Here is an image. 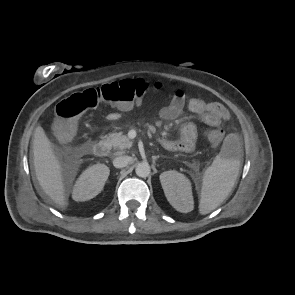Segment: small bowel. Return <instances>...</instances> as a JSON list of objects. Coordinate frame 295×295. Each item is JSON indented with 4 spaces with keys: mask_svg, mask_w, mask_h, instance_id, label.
Masks as SVG:
<instances>
[{
    "mask_svg": "<svg viewBox=\"0 0 295 295\" xmlns=\"http://www.w3.org/2000/svg\"><path fill=\"white\" fill-rule=\"evenodd\" d=\"M173 97L168 106L162 108L159 112L160 121H170L182 117L185 108L192 113L198 114L201 121L213 127L219 126L222 122L228 121L230 114L221 103L207 102L205 100L192 97L188 100L181 88L173 85ZM130 109H120L118 112H111L107 115V120L116 121L120 119L125 111ZM197 140L196 126L189 122L182 126L180 137L178 139L162 138L160 143L170 151L192 152Z\"/></svg>",
    "mask_w": 295,
    "mask_h": 295,
    "instance_id": "c3829d8e",
    "label": "small bowel"
}]
</instances>
